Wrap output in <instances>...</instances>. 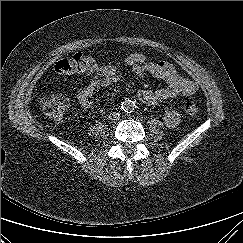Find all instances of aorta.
Segmentation results:
<instances>
[{"label": "aorta", "instance_id": "762f6f07", "mask_svg": "<svg viewBox=\"0 0 243 243\" xmlns=\"http://www.w3.org/2000/svg\"><path fill=\"white\" fill-rule=\"evenodd\" d=\"M121 109L126 113H131L135 110V103L130 99H125L121 103Z\"/></svg>", "mask_w": 243, "mask_h": 243}]
</instances>
